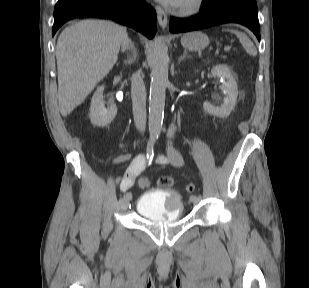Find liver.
I'll list each match as a JSON object with an SVG mask.
<instances>
[{
	"label": "liver",
	"mask_w": 309,
	"mask_h": 288,
	"mask_svg": "<svg viewBox=\"0 0 309 288\" xmlns=\"http://www.w3.org/2000/svg\"><path fill=\"white\" fill-rule=\"evenodd\" d=\"M127 30L110 21L83 20L65 28L56 46L58 103L69 115L109 73Z\"/></svg>",
	"instance_id": "6515ba94"
}]
</instances>
